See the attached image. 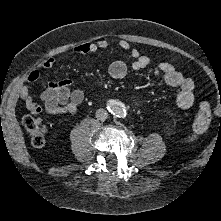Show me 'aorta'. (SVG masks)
Returning a JSON list of instances; mask_svg holds the SVG:
<instances>
[{
  "instance_id": "1",
  "label": "aorta",
  "mask_w": 221,
  "mask_h": 221,
  "mask_svg": "<svg viewBox=\"0 0 221 221\" xmlns=\"http://www.w3.org/2000/svg\"><path fill=\"white\" fill-rule=\"evenodd\" d=\"M111 113L114 114L117 117H123L125 115V110L122 106H120L117 103H112L110 105Z\"/></svg>"
}]
</instances>
